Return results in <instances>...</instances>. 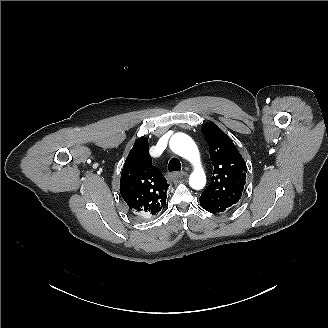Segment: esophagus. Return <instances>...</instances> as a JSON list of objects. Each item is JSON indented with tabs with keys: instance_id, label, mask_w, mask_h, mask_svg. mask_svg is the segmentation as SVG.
<instances>
[{
	"instance_id": "obj_1",
	"label": "esophagus",
	"mask_w": 328,
	"mask_h": 328,
	"mask_svg": "<svg viewBox=\"0 0 328 328\" xmlns=\"http://www.w3.org/2000/svg\"><path fill=\"white\" fill-rule=\"evenodd\" d=\"M186 175L185 172H171L169 173L168 177L172 179H180L183 178Z\"/></svg>"
}]
</instances>
